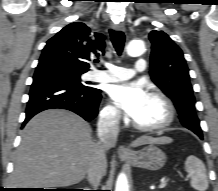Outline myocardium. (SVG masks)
Returning <instances> with one entry per match:
<instances>
[{"label":"myocardium","mask_w":218,"mask_h":191,"mask_svg":"<svg viewBox=\"0 0 218 191\" xmlns=\"http://www.w3.org/2000/svg\"><path fill=\"white\" fill-rule=\"evenodd\" d=\"M150 96L155 97L163 102V104L166 107L167 110V117L165 121L159 125H153V126H143L138 124L135 120L133 121V126L143 132H158L163 131L170 127L176 118V108L172 100L162 91L160 90H152L149 93Z\"/></svg>","instance_id":"obj_1"}]
</instances>
